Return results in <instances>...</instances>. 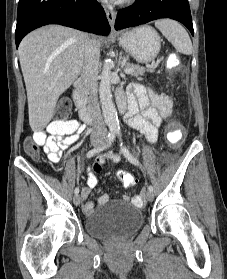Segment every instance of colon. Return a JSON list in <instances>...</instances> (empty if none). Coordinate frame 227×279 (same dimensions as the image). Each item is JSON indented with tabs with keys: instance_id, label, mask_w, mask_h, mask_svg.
<instances>
[{
	"instance_id": "obj_1",
	"label": "colon",
	"mask_w": 227,
	"mask_h": 279,
	"mask_svg": "<svg viewBox=\"0 0 227 279\" xmlns=\"http://www.w3.org/2000/svg\"><path fill=\"white\" fill-rule=\"evenodd\" d=\"M71 112V104L69 101H63L61 102V104L58 107V122L61 123L60 127L63 129H68V125L67 122L69 121V114ZM25 149L26 152L32 156L33 158H38L39 157V147L36 143L32 142V141H27L25 143ZM98 170V169H96ZM117 177L118 180L121 182V184L123 186H133L136 184V179L133 176V174H131L130 172L127 171H119L117 172ZM143 197L142 196H138L135 200L134 203L137 206H140L143 203Z\"/></svg>"
}]
</instances>
